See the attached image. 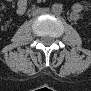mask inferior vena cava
I'll return each mask as SVG.
<instances>
[{
	"label": "inferior vena cava",
	"instance_id": "inferior-vena-cava-1",
	"mask_svg": "<svg viewBox=\"0 0 91 91\" xmlns=\"http://www.w3.org/2000/svg\"><path fill=\"white\" fill-rule=\"evenodd\" d=\"M47 12H48L47 8L33 9V15L43 14Z\"/></svg>",
	"mask_w": 91,
	"mask_h": 91
}]
</instances>
